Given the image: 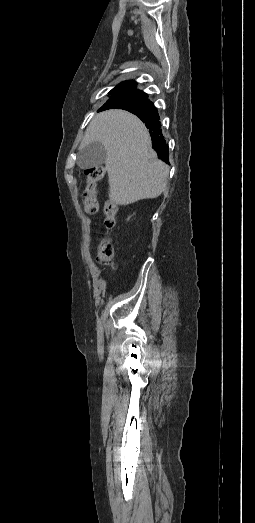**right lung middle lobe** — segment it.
<instances>
[{"instance_id": "dd1d6c3e", "label": "right lung middle lobe", "mask_w": 255, "mask_h": 523, "mask_svg": "<svg viewBox=\"0 0 255 523\" xmlns=\"http://www.w3.org/2000/svg\"><path fill=\"white\" fill-rule=\"evenodd\" d=\"M110 94H114L110 100L121 102H144L147 99L146 94L139 90L110 92Z\"/></svg>"}]
</instances>
